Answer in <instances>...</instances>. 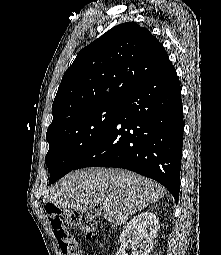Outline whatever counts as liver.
<instances>
[{
  "instance_id": "1",
  "label": "liver",
  "mask_w": 221,
  "mask_h": 255,
  "mask_svg": "<svg viewBox=\"0 0 221 255\" xmlns=\"http://www.w3.org/2000/svg\"><path fill=\"white\" fill-rule=\"evenodd\" d=\"M165 194L163 186L134 172L88 168L67 174L46 190L43 201L59 209L70 208L81 213L99 204L108 222L122 225Z\"/></svg>"
}]
</instances>
